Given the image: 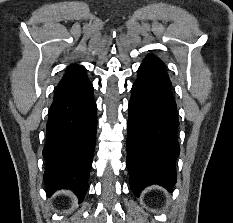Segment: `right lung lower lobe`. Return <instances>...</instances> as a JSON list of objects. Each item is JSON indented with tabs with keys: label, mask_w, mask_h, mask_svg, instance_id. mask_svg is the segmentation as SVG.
Instances as JSON below:
<instances>
[{
	"label": "right lung lower lobe",
	"mask_w": 233,
	"mask_h": 223,
	"mask_svg": "<svg viewBox=\"0 0 233 223\" xmlns=\"http://www.w3.org/2000/svg\"><path fill=\"white\" fill-rule=\"evenodd\" d=\"M96 103L93 86L80 65H71L55 89L49 109L45 158V187L50 196L71 189L81 202L96 142Z\"/></svg>",
	"instance_id": "obj_1"
}]
</instances>
